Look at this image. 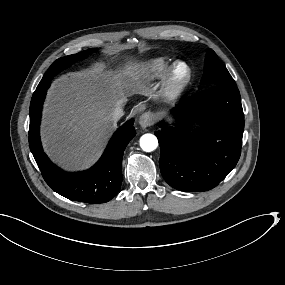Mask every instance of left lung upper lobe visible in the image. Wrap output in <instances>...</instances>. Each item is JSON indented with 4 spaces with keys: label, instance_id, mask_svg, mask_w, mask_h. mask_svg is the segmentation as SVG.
I'll use <instances>...</instances> for the list:
<instances>
[{
    "label": "left lung upper lobe",
    "instance_id": "left-lung-upper-lobe-1",
    "mask_svg": "<svg viewBox=\"0 0 285 285\" xmlns=\"http://www.w3.org/2000/svg\"><path fill=\"white\" fill-rule=\"evenodd\" d=\"M201 84H209L211 86L236 84L212 49L207 50Z\"/></svg>",
    "mask_w": 285,
    "mask_h": 285
}]
</instances>
